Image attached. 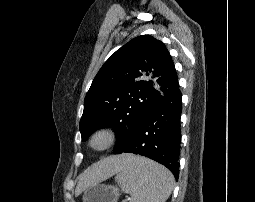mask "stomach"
Masks as SVG:
<instances>
[{
	"label": "stomach",
	"mask_w": 255,
	"mask_h": 202,
	"mask_svg": "<svg viewBox=\"0 0 255 202\" xmlns=\"http://www.w3.org/2000/svg\"><path fill=\"white\" fill-rule=\"evenodd\" d=\"M120 196L118 187L96 183L84 190L83 202H117Z\"/></svg>",
	"instance_id": "obj_1"
}]
</instances>
